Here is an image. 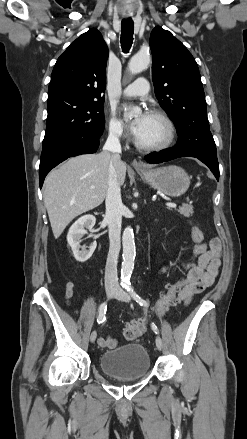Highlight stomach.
Segmentation results:
<instances>
[{
	"instance_id": "1",
	"label": "stomach",
	"mask_w": 247,
	"mask_h": 439,
	"mask_svg": "<svg viewBox=\"0 0 247 439\" xmlns=\"http://www.w3.org/2000/svg\"><path fill=\"white\" fill-rule=\"evenodd\" d=\"M137 172L146 183L170 197L183 195L190 186V178L186 171L175 165L147 168Z\"/></svg>"
}]
</instances>
